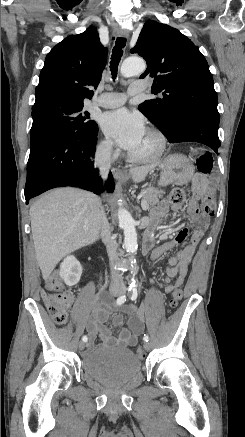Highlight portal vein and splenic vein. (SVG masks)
<instances>
[{
  "mask_svg": "<svg viewBox=\"0 0 245 437\" xmlns=\"http://www.w3.org/2000/svg\"><path fill=\"white\" fill-rule=\"evenodd\" d=\"M141 194L137 197V199H141ZM141 207L144 211H147L149 209V206L147 205L146 201H141Z\"/></svg>",
  "mask_w": 245,
  "mask_h": 437,
  "instance_id": "1",
  "label": "portal vein and splenic vein"
}]
</instances>
